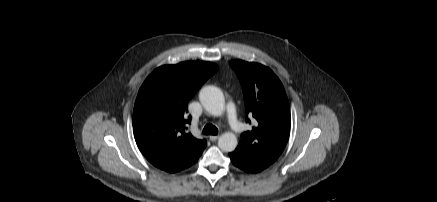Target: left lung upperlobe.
<instances>
[{
    "label": "left lung upper lobe",
    "mask_w": 437,
    "mask_h": 202,
    "mask_svg": "<svg viewBox=\"0 0 437 202\" xmlns=\"http://www.w3.org/2000/svg\"><path fill=\"white\" fill-rule=\"evenodd\" d=\"M230 66L239 77L244 93L246 122L255 119L244 132L236 151L266 167L281 155L290 133V108L284 87L266 66L233 60Z\"/></svg>",
    "instance_id": "obj_1"
}]
</instances>
